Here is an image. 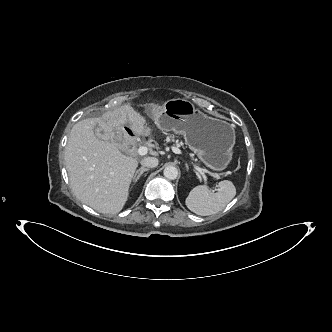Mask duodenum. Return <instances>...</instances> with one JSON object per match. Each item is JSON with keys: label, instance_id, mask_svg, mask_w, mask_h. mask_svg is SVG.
Returning <instances> with one entry per match:
<instances>
[{"label": "duodenum", "instance_id": "duodenum-1", "mask_svg": "<svg viewBox=\"0 0 332 332\" xmlns=\"http://www.w3.org/2000/svg\"><path fill=\"white\" fill-rule=\"evenodd\" d=\"M126 135L128 136V138L130 139H134L135 138V133L132 129L130 128H126Z\"/></svg>", "mask_w": 332, "mask_h": 332}]
</instances>
